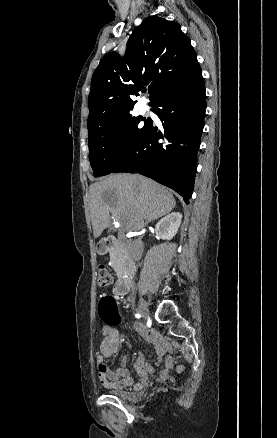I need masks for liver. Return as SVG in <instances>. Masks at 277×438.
<instances>
[{"mask_svg":"<svg viewBox=\"0 0 277 438\" xmlns=\"http://www.w3.org/2000/svg\"><path fill=\"white\" fill-rule=\"evenodd\" d=\"M175 206V198L167 188L139 174H116L90 186L94 238L110 226V212L126 230H141Z\"/></svg>","mask_w":277,"mask_h":438,"instance_id":"liver-1","label":"liver"}]
</instances>
